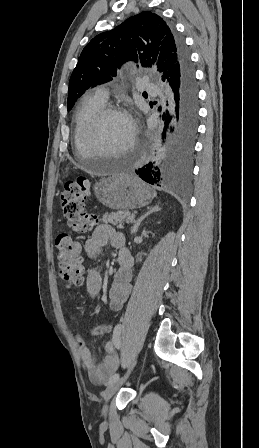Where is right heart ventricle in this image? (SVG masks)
<instances>
[{
	"label": "right heart ventricle",
	"instance_id": "1",
	"mask_svg": "<svg viewBox=\"0 0 259 448\" xmlns=\"http://www.w3.org/2000/svg\"><path fill=\"white\" fill-rule=\"evenodd\" d=\"M105 106V102L97 98L94 91L89 92L83 99L81 107L76 114L73 129L74 148H81V151L87 147L84 142V133L87 125L92 118Z\"/></svg>",
	"mask_w": 259,
	"mask_h": 448
}]
</instances>
